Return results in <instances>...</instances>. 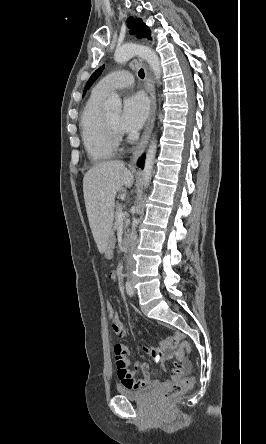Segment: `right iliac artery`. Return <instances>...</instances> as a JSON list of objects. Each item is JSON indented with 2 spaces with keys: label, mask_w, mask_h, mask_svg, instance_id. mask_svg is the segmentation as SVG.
Instances as JSON below:
<instances>
[{
  "label": "right iliac artery",
  "mask_w": 266,
  "mask_h": 444,
  "mask_svg": "<svg viewBox=\"0 0 266 444\" xmlns=\"http://www.w3.org/2000/svg\"><path fill=\"white\" fill-rule=\"evenodd\" d=\"M125 288H126V292H127V294H128L130 297H132L133 294H134V291H133V287L131 286V284H130L129 282H126Z\"/></svg>",
  "instance_id": "right-iliac-artery-1"
}]
</instances>
